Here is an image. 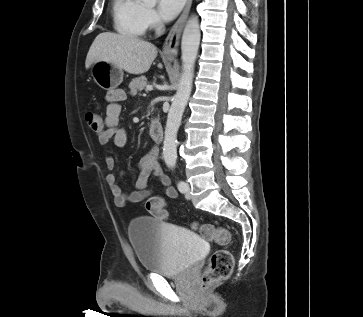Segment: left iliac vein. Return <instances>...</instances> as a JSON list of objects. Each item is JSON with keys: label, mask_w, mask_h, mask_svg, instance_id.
I'll return each mask as SVG.
<instances>
[{"label": "left iliac vein", "mask_w": 363, "mask_h": 317, "mask_svg": "<svg viewBox=\"0 0 363 317\" xmlns=\"http://www.w3.org/2000/svg\"><path fill=\"white\" fill-rule=\"evenodd\" d=\"M185 184H186V189H185L186 197L190 198V186L187 183H185Z\"/></svg>", "instance_id": "1"}]
</instances>
